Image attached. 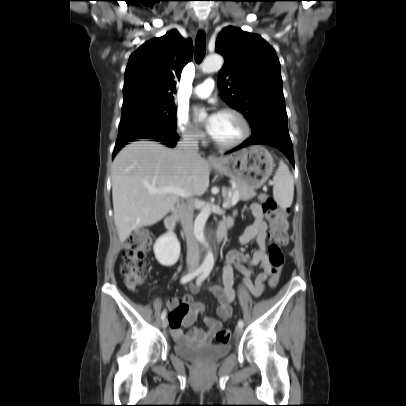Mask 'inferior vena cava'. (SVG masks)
I'll use <instances>...</instances> for the list:
<instances>
[{
    "mask_svg": "<svg viewBox=\"0 0 406 406\" xmlns=\"http://www.w3.org/2000/svg\"><path fill=\"white\" fill-rule=\"evenodd\" d=\"M176 149L187 160L196 161L199 159L198 140L195 135L184 134ZM182 228L187 242V266L196 268L199 264V247L193 233V204L187 205L183 213Z\"/></svg>",
    "mask_w": 406,
    "mask_h": 406,
    "instance_id": "inferior-vena-cava-1",
    "label": "inferior vena cava"
}]
</instances>
